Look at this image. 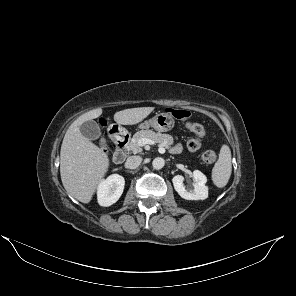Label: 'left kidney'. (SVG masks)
<instances>
[{
	"label": "left kidney",
	"instance_id": "5707ae66",
	"mask_svg": "<svg viewBox=\"0 0 296 296\" xmlns=\"http://www.w3.org/2000/svg\"><path fill=\"white\" fill-rule=\"evenodd\" d=\"M194 189L187 191L184 186V177L176 175L173 177L172 182L176 192L186 200H205L208 197V187L206 186L207 178L199 170L193 171Z\"/></svg>",
	"mask_w": 296,
	"mask_h": 296
}]
</instances>
